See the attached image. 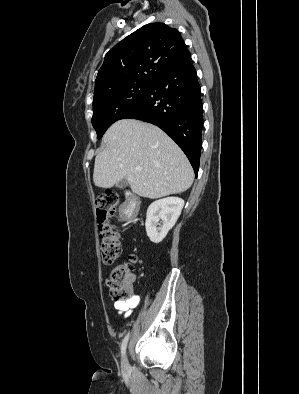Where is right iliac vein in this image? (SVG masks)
<instances>
[{
  "label": "right iliac vein",
  "instance_id": "1",
  "mask_svg": "<svg viewBox=\"0 0 299 394\" xmlns=\"http://www.w3.org/2000/svg\"><path fill=\"white\" fill-rule=\"evenodd\" d=\"M121 364H122V368H123L124 370H127V369H128L129 364H128V359H127L126 354L123 355Z\"/></svg>",
  "mask_w": 299,
  "mask_h": 394
}]
</instances>
